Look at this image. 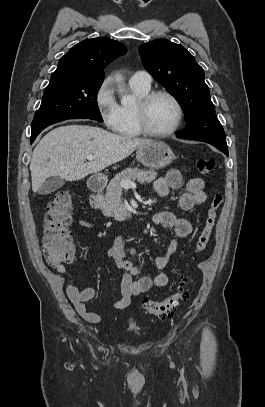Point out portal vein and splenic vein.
<instances>
[{
    "label": "portal vein and splenic vein",
    "mask_w": 265,
    "mask_h": 407,
    "mask_svg": "<svg viewBox=\"0 0 265 407\" xmlns=\"http://www.w3.org/2000/svg\"><path fill=\"white\" fill-rule=\"evenodd\" d=\"M87 159H88L89 161H93V160L95 159V156H93V155H88V156H87ZM120 185H121L123 188H125V189H129V188L136 187V184H135L134 182H132V181H129V180H123V181H121V182H120Z\"/></svg>",
    "instance_id": "obj_1"
}]
</instances>
